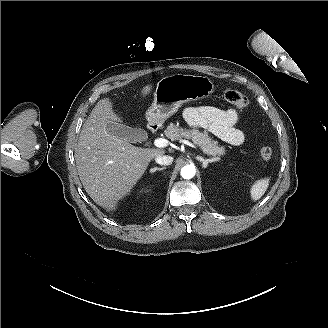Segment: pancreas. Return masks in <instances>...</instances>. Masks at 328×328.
Masks as SVG:
<instances>
[{
    "instance_id": "1",
    "label": "pancreas",
    "mask_w": 328,
    "mask_h": 328,
    "mask_svg": "<svg viewBox=\"0 0 328 328\" xmlns=\"http://www.w3.org/2000/svg\"><path fill=\"white\" fill-rule=\"evenodd\" d=\"M165 135L172 141L191 139L195 144H198L201 147L207 156L214 157V163L221 162L220 157L226 155V149L224 146L218 145L217 141L211 139L207 131H200L198 128H184L178 123H171L165 130Z\"/></svg>"
}]
</instances>
